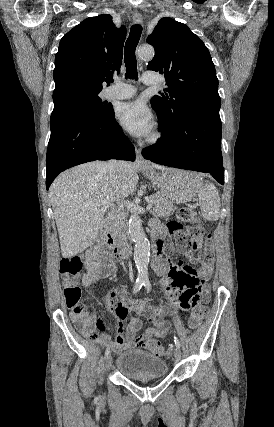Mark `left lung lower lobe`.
<instances>
[{"label": "left lung lower lobe", "mask_w": 274, "mask_h": 427, "mask_svg": "<svg viewBox=\"0 0 274 427\" xmlns=\"http://www.w3.org/2000/svg\"><path fill=\"white\" fill-rule=\"evenodd\" d=\"M158 117L163 138L142 150L144 158L170 167L210 173L223 184L219 115L203 111L191 112L169 130L163 128L159 114Z\"/></svg>", "instance_id": "obj_1"}]
</instances>
